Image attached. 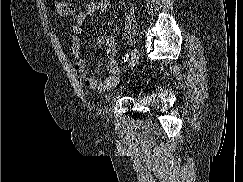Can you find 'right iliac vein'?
<instances>
[{"label":"right iliac vein","instance_id":"1","mask_svg":"<svg viewBox=\"0 0 243 182\" xmlns=\"http://www.w3.org/2000/svg\"><path fill=\"white\" fill-rule=\"evenodd\" d=\"M140 56V52L137 48H135L132 53H131V58H130V68L133 69V67L135 66L137 60L139 59Z\"/></svg>","mask_w":243,"mask_h":182}]
</instances>
